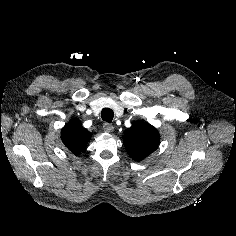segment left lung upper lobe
<instances>
[{
    "instance_id": "1",
    "label": "left lung upper lobe",
    "mask_w": 236,
    "mask_h": 236,
    "mask_svg": "<svg viewBox=\"0 0 236 236\" xmlns=\"http://www.w3.org/2000/svg\"><path fill=\"white\" fill-rule=\"evenodd\" d=\"M123 138L127 153L137 162L153 153L160 141L156 128L146 122H135L124 132Z\"/></svg>"
}]
</instances>
